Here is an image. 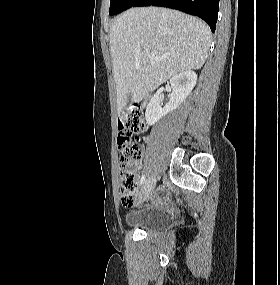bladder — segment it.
Instances as JSON below:
<instances>
[{
	"label": "bladder",
	"instance_id": "1",
	"mask_svg": "<svg viewBox=\"0 0 280 285\" xmlns=\"http://www.w3.org/2000/svg\"><path fill=\"white\" fill-rule=\"evenodd\" d=\"M171 222V216L153 208L143 207L126 216L125 223L128 227L144 231H156L164 228Z\"/></svg>",
	"mask_w": 280,
	"mask_h": 285
}]
</instances>
